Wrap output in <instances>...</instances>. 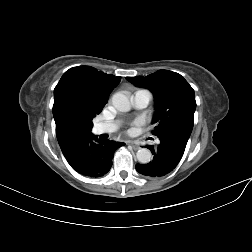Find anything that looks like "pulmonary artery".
<instances>
[{
    "instance_id": "1",
    "label": "pulmonary artery",
    "mask_w": 252,
    "mask_h": 252,
    "mask_svg": "<svg viewBox=\"0 0 252 252\" xmlns=\"http://www.w3.org/2000/svg\"><path fill=\"white\" fill-rule=\"evenodd\" d=\"M150 93L145 90L135 92L131 98L132 104L136 108H145L150 102ZM117 129V124L114 122L98 123L94 126L93 132L97 135L103 133H112Z\"/></svg>"
}]
</instances>
